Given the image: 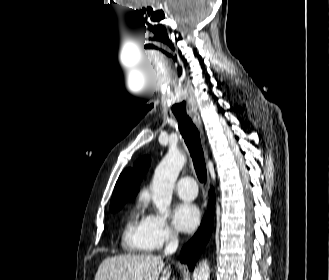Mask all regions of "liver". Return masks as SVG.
I'll list each match as a JSON object with an SVG mask.
<instances>
[{
    "instance_id": "liver-1",
    "label": "liver",
    "mask_w": 329,
    "mask_h": 280,
    "mask_svg": "<svg viewBox=\"0 0 329 280\" xmlns=\"http://www.w3.org/2000/svg\"><path fill=\"white\" fill-rule=\"evenodd\" d=\"M161 256L153 255H118L108 257L98 267L94 280H168L170 266L164 269Z\"/></svg>"
}]
</instances>
